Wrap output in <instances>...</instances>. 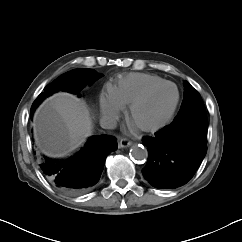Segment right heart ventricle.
I'll use <instances>...</instances> for the list:
<instances>
[{
	"label": "right heart ventricle",
	"instance_id": "e07e8e85",
	"mask_svg": "<svg viewBox=\"0 0 242 242\" xmlns=\"http://www.w3.org/2000/svg\"><path fill=\"white\" fill-rule=\"evenodd\" d=\"M163 81L162 77L154 74L130 73L119 77L111 92L123 106H129L148 88Z\"/></svg>",
	"mask_w": 242,
	"mask_h": 242
}]
</instances>
